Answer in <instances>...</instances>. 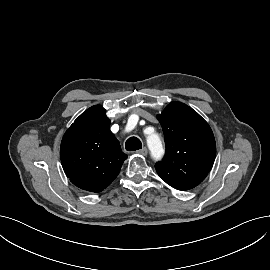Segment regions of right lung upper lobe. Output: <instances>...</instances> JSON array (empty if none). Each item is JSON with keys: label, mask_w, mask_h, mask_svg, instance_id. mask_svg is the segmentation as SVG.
<instances>
[{"label": "right lung upper lobe", "mask_w": 270, "mask_h": 270, "mask_svg": "<svg viewBox=\"0 0 270 270\" xmlns=\"http://www.w3.org/2000/svg\"><path fill=\"white\" fill-rule=\"evenodd\" d=\"M60 158L66 176L77 187L100 192L120 172L127 155L110 131V120L101 105L83 112L63 136Z\"/></svg>", "instance_id": "cb5924a9"}]
</instances>
